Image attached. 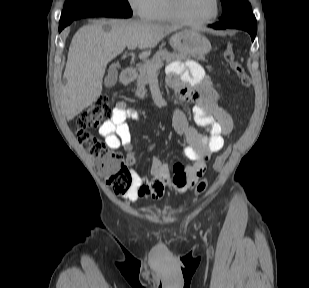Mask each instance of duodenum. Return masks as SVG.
I'll list each match as a JSON object with an SVG mask.
<instances>
[{
    "instance_id": "duodenum-1",
    "label": "duodenum",
    "mask_w": 309,
    "mask_h": 288,
    "mask_svg": "<svg viewBox=\"0 0 309 288\" xmlns=\"http://www.w3.org/2000/svg\"><path fill=\"white\" fill-rule=\"evenodd\" d=\"M135 77V71L132 68H125L121 71L120 82L122 84L130 83Z\"/></svg>"
}]
</instances>
